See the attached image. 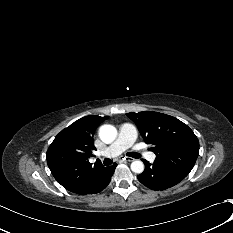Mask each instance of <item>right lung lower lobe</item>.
I'll list each match as a JSON object with an SVG mask.
<instances>
[{
	"label": "right lung lower lobe",
	"mask_w": 233,
	"mask_h": 233,
	"mask_svg": "<svg viewBox=\"0 0 233 233\" xmlns=\"http://www.w3.org/2000/svg\"><path fill=\"white\" fill-rule=\"evenodd\" d=\"M117 164L114 163L110 167H105L98 176L94 179V181L90 184L88 189L85 191V194H93L102 191L106 186L110 183L111 177L114 173Z\"/></svg>",
	"instance_id": "obj_1"
}]
</instances>
